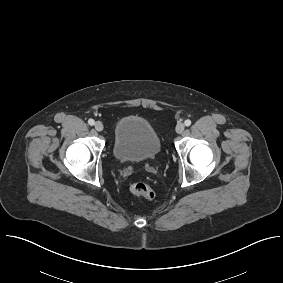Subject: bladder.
I'll use <instances>...</instances> for the list:
<instances>
[{"instance_id": "1", "label": "bladder", "mask_w": 283, "mask_h": 283, "mask_svg": "<svg viewBox=\"0 0 283 283\" xmlns=\"http://www.w3.org/2000/svg\"><path fill=\"white\" fill-rule=\"evenodd\" d=\"M112 151L114 157L120 161H149L159 155L161 142L148 120L130 115L116 123Z\"/></svg>"}]
</instances>
